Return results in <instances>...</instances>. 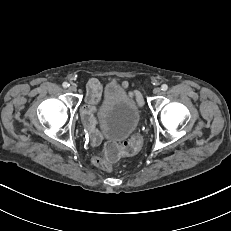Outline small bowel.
<instances>
[{
    "mask_svg": "<svg viewBox=\"0 0 231 231\" xmlns=\"http://www.w3.org/2000/svg\"><path fill=\"white\" fill-rule=\"evenodd\" d=\"M124 86H128L127 82L123 83ZM103 86L97 79H91L87 84L86 91V105L83 108L82 114L85 124L89 128L90 136L93 144L100 142L101 136L95 128L96 120L94 114L101 103ZM131 95L134 96L137 101L141 102L142 98L139 92L133 91Z\"/></svg>",
    "mask_w": 231,
    "mask_h": 231,
    "instance_id": "1",
    "label": "small bowel"
}]
</instances>
